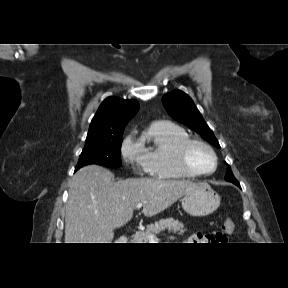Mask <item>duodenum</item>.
Instances as JSON below:
<instances>
[{
    "instance_id": "1",
    "label": "duodenum",
    "mask_w": 288,
    "mask_h": 288,
    "mask_svg": "<svg viewBox=\"0 0 288 288\" xmlns=\"http://www.w3.org/2000/svg\"><path fill=\"white\" fill-rule=\"evenodd\" d=\"M120 241L122 243H130L131 242V237L129 235H123L120 237Z\"/></svg>"
}]
</instances>
